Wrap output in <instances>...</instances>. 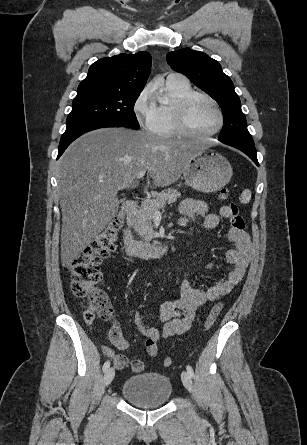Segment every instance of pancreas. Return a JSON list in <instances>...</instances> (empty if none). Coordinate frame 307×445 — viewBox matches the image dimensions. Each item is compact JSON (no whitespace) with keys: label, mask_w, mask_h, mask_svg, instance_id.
<instances>
[{"label":"pancreas","mask_w":307,"mask_h":445,"mask_svg":"<svg viewBox=\"0 0 307 445\" xmlns=\"http://www.w3.org/2000/svg\"><path fill=\"white\" fill-rule=\"evenodd\" d=\"M181 192H178L177 188H166L157 194L156 198H149L142 202L141 206H138L135 212L136 227L140 237H144L143 241L148 243L152 239H156L155 233H153L154 225L152 223L153 214L156 208H162L167 202H176Z\"/></svg>","instance_id":"cf45deb5"}]
</instances>
